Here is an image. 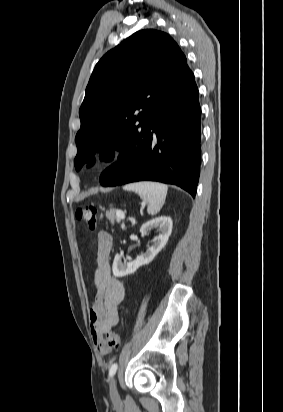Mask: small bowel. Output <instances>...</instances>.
Instances as JSON below:
<instances>
[{
  "label": "small bowel",
  "mask_w": 283,
  "mask_h": 412,
  "mask_svg": "<svg viewBox=\"0 0 283 412\" xmlns=\"http://www.w3.org/2000/svg\"><path fill=\"white\" fill-rule=\"evenodd\" d=\"M113 247L112 236L101 231L97 235V259L94 273L95 296L89 309L90 334L100 350L104 334L118 322L119 306L125 297L123 283L111 274L110 256Z\"/></svg>",
  "instance_id": "obj_1"
}]
</instances>
